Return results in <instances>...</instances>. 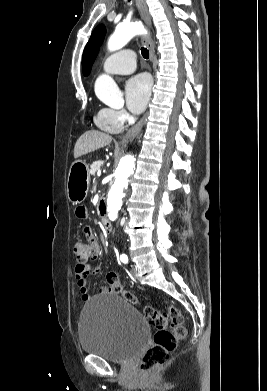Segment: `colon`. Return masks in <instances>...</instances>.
Segmentation results:
<instances>
[{
	"label": "colon",
	"instance_id": "obj_1",
	"mask_svg": "<svg viewBox=\"0 0 267 391\" xmlns=\"http://www.w3.org/2000/svg\"><path fill=\"white\" fill-rule=\"evenodd\" d=\"M73 252L76 257V266L83 268L90 265L91 261L96 258L98 246L94 239H78L73 245ZM106 281V288L109 292L122 296L129 303H138L137 296L123 288L115 271L107 273ZM144 312L149 323L156 330L153 343L145 352L140 363L141 372L148 375L168 361L179 341L186 336V328L183 325L181 312L175 306H169L165 311H159L146 305ZM170 323L172 324L171 330L168 329Z\"/></svg>",
	"mask_w": 267,
	"mask_h": 391
}]
</instances>
